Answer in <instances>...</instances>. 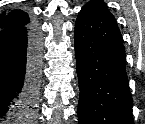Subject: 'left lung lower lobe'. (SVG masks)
Returning a JSON list of instances; mask_svg holds the SVG:
<instances>
[{
  "label": "left lung lower lobe",
  "instance_id": "left-lung-lower-lobe-1",
  "mask_svg": "<svg viewBox=\"0 0 145 124\" xmlns=\"http://www.w3.org/2000/svg\"><path fill=\"white\" fill-rule=\"evenodd\" d=\"M79 124H134L123 40L113 15L85 5L75 24Z\"/></svg>",
  "mask_w": 145,
  "mask_h": 124
}]
</instances>
